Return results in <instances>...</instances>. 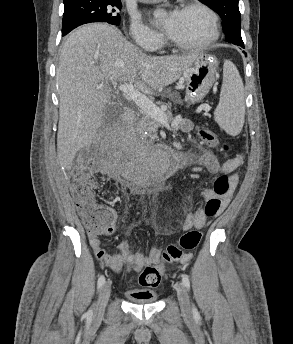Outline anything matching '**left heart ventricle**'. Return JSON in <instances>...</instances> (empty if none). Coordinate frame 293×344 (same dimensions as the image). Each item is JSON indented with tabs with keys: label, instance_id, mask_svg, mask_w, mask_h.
I'll list each match as a JSON object with an SVG mask.
<instances>
[{
	"label": "left heart ventricle",
	"instance_id": "obj_1",
	"mask_svg": "<svg viewBox=\"0 0 293 344\" xmlns=\"http://www.w3.org/2000/svg\"><path fill=\"white\" fill-rule=\"evenodd\" d=\"M210 30L208 16L201 10L193 9L176 12L172 28L167 34L180 42L196 43L205 40Z\"/></svg>",
	"mask_w": 293,
	"mask_h": 344
}]
</instances>
